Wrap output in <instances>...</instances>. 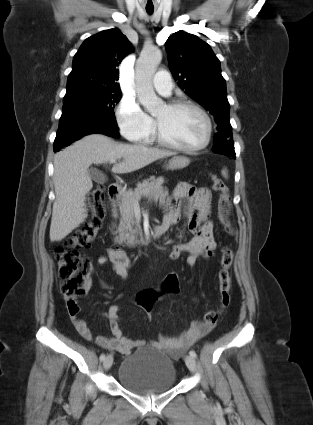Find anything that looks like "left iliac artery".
I'll return each instance as SVG.
<instances>
[{
	"label": "left iliac artery",
	"mask_w": 313,
	"mask_h": 425,
	"mask_svg": "<svg viewBox=\"0 0 313 425\" xmlns=\"http://www.w3.org/2000/svg\"><path fill=\"white\" fill-rule=\"evenodd\" d=\"M189 354H190V356H192V357H194V358H196V353H195V351H193V350H191L190 352H189Z\"/></svg>",
	"instance_id": "44dca946"
}]
</instances>
